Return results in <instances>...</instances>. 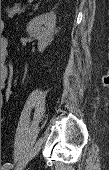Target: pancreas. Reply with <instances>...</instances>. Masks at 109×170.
Segmentation results:
<instances>
[{"label":"pancreas","instance_id":"1","mask_svg":"<svg viewBox=\"0 0 109 170\" xmlns=\"http://www.w3.org/2000/svg\"><path fill=\"white\" fill-rule=\"evenodd\" d=\"M5 12L8 14V17L13 18L14 15L23 12V9H21L20 6H15L14 8L11 9L7 8Z\"/></svg>","mask_w":109,"mask_h":170}]
</instances>
